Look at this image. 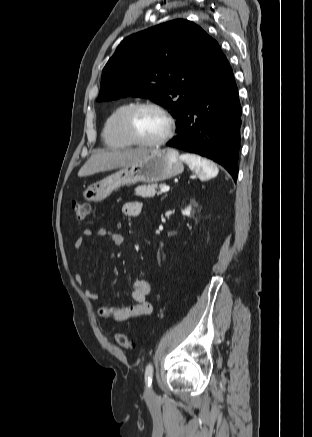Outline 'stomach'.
<instances>
[{
	"label": "stomach",
	"instance_id": "stomach-1",
	"mask_svg": "<svg viewBox=\"0 0 312 437\" xmlns=\"http://www.w3.org/2000/svg\"><path fill=\"white\" fill-rule=\"evenodd\" d=\"M183 170V162L177 150L152 149L132 164L122 167L99 182L90 184L84 190L83 197L90 202H100L122 186L167 180L181 174Z\"/></svg>",
	"mask_w": 312,
	"mask_h": 437
}]
</instances>
